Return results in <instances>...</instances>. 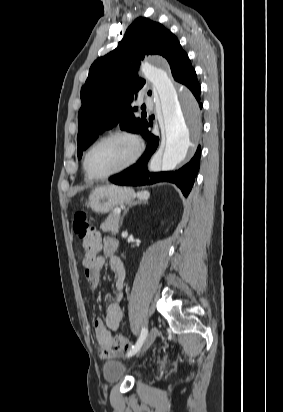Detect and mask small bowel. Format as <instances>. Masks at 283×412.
<instances>
[{
    "label": "small bowel",
    "instance_id": "c3829d8e",
    "mask_svg": "<svg viewBox=\"0 0 283 412\" xmlns=\"http://www.w3.org/2000/svg\"><path fill=\"white\" fill-rule=\"evenodd\" d=\"M99 241V251H102L108 256V266L110 272L114 278V286L112 289L113 301L109 303L106 309L105 319L97 318L94 321V330L99 345L105 349V355L109 357H116L119 352L112 349V331L119 328L122 321L123 313L120 305L122 298V287L125 278V269L122 261L114 256V252L117 248V242L115 239L106 237L101 238L97 233ZM104 258L99 256L98 253L95 257L84 256L83 268L84 275L88 283L96 288L98 287L101 279V272L104 266ZM102 354V356H105Z\"/></svg>",
    "mask_w": 283,
    "mask_h": 412
}]
</instances>
